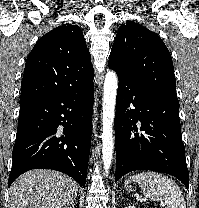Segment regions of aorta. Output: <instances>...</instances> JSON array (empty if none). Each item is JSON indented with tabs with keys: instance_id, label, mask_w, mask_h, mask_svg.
<instances>
[{
	"instance_id": "762f6f07",
	"label": "aorta",
	"mask_w": 199,
	"mask_h": 208,
	"mask_svg": "<svg viewBox=\"0 0 199 208\" xmlns=\"http://www.w3.org/2000/svg\"><path fill=\"white\" fill-rule=\"evenodd\" d=\"M117 88V75L114 71H109L104 80L102 112V161L106 174H108L111 167L114 153L113 122Z\"/></svg>"
}]
</instances>
